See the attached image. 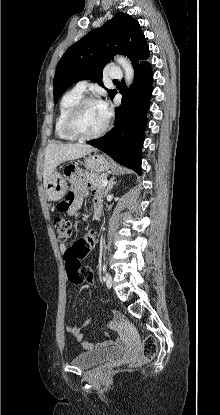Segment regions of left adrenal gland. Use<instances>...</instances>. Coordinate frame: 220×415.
I'll return each mask as SVG.
<instances>
[{
  "mask_svg": "<svg viewBox=\"0 0 220 415\" xmlns=\"http://www.w3.org/2000/svg\"><path fill=\"white\" fill-rule=\"evenodd\" d=\"M114 179H115V178L113 177V178H111V179L109 180V183H108L107 189H106V191H105V195H106V194H108V192L112 190V188H113L114 184L116 183V182L114 181Z\"/></svg>",
  "mask_w": 220,
  "mask_h": 415,
  "instance_id": "a2214340",
  "label": "left adrenal gland"
}]
</instances>
